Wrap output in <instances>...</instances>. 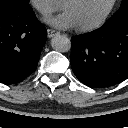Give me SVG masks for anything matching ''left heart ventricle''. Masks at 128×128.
Wrapping results in <instances>:
<instances>
[{"label": "left heart ventricle", "mask_w": 128, "mask_h": 128, "mask_svg": "<svg viewBox=\"0 0 128 128\" xmlns=\"http://www.w3.org/2000/svg\"><path fill=\"white\" fill-rule=\"evenodd\" d=\"M112 0H73L64 9L75 19L77 25H87L96 21Z\"/></svg>", "instance_id": "1"}]
</instances>
